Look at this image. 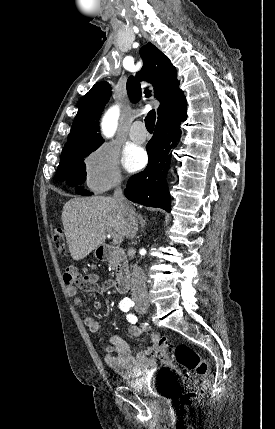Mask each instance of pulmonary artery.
Returning <instances> with one entry per match:
<instances>
[{"instance_id": "e3ab8cb5", "label": "pulmonary artery", "mask_w": 275, "mask_h": 429, "mask_svg": "<svg viewBox=\"0 0 275 429\" xmlns=\"http://www.w3.org/2000/svg\"><path fill=\"white\" fill-rule=\"evenodd\" d=\"M129 136L135 143H143L146 140L147 134L141 121H135L132 124Z\"/></svg>"}]
</instances>
